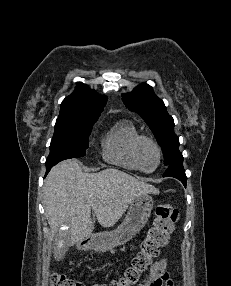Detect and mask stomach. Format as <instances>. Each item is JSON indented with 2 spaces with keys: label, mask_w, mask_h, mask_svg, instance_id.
<instances>
[{
  "label": "stomach",
  "mask_w": 231,
  "mask_h": 286,
  "mask_svg": "<svg viewBox=\"0 0 231 286\" xmlns=\"http://www.w3.org/2000/svg\"><path fill=\"white\" fill-rule=\"evenodd\" d=\"M153 204V199L148 194L136 197L130 204L125 219L116 229L90 234L78 241V249L106 252L124 245L145 226L153 209Z\"/></svg>",
  "instance_id": "stomach-1"
}]
</instances>
